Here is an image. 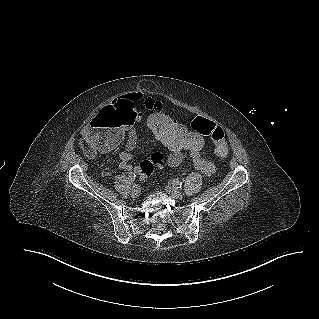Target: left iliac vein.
<instances>
[{
    "label": "left iliac vein",
    "mask_w": 319,
    "mask_h": 319,
    "mask_svg": "<svg viewBox=\"0 0 319 319\" xmlns=\"http://www.w3.org/2000/svg\"><path fill=\"white\" fill-rule=\"evenodd\" d=\"M165 190L167 191V193L171 196V197H173V198H176V199H178V198H181V193H180V191H178L176 188H174L173 186H171V185H167L166 187H165Z\"/></svg>",
    "instance_id": "left-iliac-vein-1"
}]
</instances>
